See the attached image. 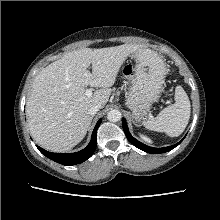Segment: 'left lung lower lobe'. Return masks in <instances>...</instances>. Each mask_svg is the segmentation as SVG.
Segmentation results:
<instances>
[{
    "mask_svg": "<svg viewBox=\"0 0 220 220\" xmlns=\"http://www.w3.org/2000/svg\"><path fill=\"white\" fill-rule=\"evenodd\" d=\"M123 130H124V133L127 137V139L134 145L136 146L137 148H139L140 150L142 151H145L147 153H151V154H159V153H164V152H167V151H170L172 149H174L176 146H178L182 140L180 142H178L177 144L175 145H172V146H168V147H164V148H152V147H149L141 142H139L138 140H136L135 138L132 137V135L130 134L129 130H128V127H127V124H126V121L125 119L123 118Z\"/></svg>",
    "mask_w": 220,
    "mask_h": 220,
    "instance_id": "obj_1",
    "label": "left lung lower lobe"
}]
</instances>
